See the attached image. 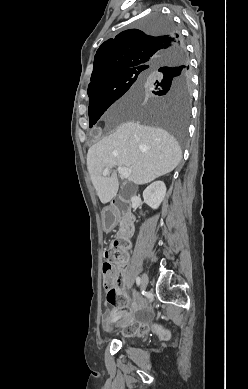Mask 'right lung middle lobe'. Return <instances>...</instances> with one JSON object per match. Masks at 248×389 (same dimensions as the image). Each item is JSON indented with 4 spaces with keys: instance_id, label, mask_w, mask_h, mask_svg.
<instances>
[{
    "instance_id": "right-lung-middle-lobe-1",
    "label": "right lung middle lobe",
    "mask_w": 248,
    "mask_h": 389,
    "mask_svg": "<svg viewBox=\"0 0 248 389\" xmlns=\"http://www.w3.org/2000/svg\"><path fill=\"white\" fill-rule=\"evenodd\" d=\"M140 27L152 35L175 31L172 19L158 12L146 16ZM143 81H149V90L160 99L142 104H120L116 114L163 127L181 146L184 145L191 107V73L186 56L177 54L170 55L151 70L141 68L120 72L109 83L89 92V127L132 86L135 88Z\"/></svg>"
}]
</instances>
